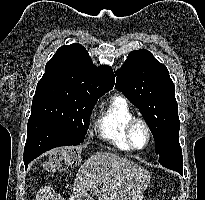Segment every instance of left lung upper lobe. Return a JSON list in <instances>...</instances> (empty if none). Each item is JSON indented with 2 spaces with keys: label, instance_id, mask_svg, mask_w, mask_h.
Masks as SVG:
<instances>
[{
  "label": "left lung upper lobe",
  "instance_id": "1",
  "mask_svg": "<svg viewBox=\"0 0 205 200\" xmlns=\"http://www.w3.org/2000/svg\"><path fill=\"white\" fill-rule=\"evenodd\" d=\"M116 88L140 110L153 134L157 155L163 153L171 128L179 122L175 87L166 66L147 50L132 51L117 71Z\"/></svg>",
  "mask_w": 205,
  "mask_h": 200
}]
</instances>
